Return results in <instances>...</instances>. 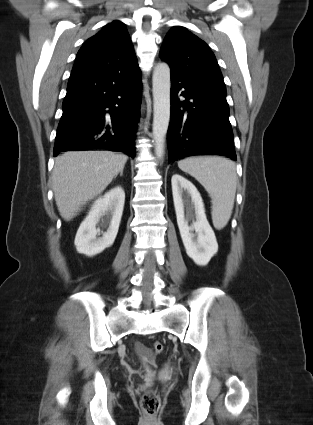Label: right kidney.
Returning <instances> with one entry per match:
<instances>
[{
	"label": "right kidney",
	"mask_w": 313,
	"mask_h": 425,
	"mask_svg": "<svg viewBox=\"0 0 313 425\" xmlns=\"http://www.w3.org/2000/svg\"><path fill=\"white\" fill-rule=\"evenodd\" d=\"M124 202L125 192L120 186L111 189L94 202L75 237L74 244L79 253L91 257L113 245L118 233ZM103 217L110 219V224L107 232L97 238L99 229L96 225Z\"/></svg>",
	"instance_id": "obj_1"
}]
</instances>
